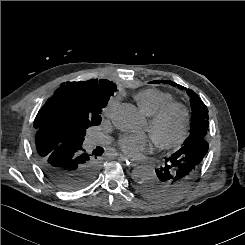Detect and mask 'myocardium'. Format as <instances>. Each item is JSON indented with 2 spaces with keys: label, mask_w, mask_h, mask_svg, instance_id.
I'll return each instance as SVG.
<instances>
[{
  "label": "myocardium",
  "mask_w": 245,
  "mask_h": 245,
  "mask_svg": "<svg viewBox=\"0 0 245 245\" xmlns=\"http://www.w3.org/2000/svg\"><path fill=\"white\" fill-rule=\"evenodd\" d=\"M179 111L182 114V129L179 136L171 141L162 142L158 140H153L155 145L160 149H173L179 147L187 139L191 126V111L190 109L181 102H172L149 119V134L172 112Z\"/></svg>",
  "instance_id": "f54148a6"
}]
</instances>
